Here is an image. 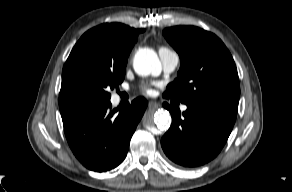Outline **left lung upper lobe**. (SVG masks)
Masks as SVG:
<instances>
[{
	"label": "left lung upper lobe",
	"mask_w": 292,
	"mask_h": 192,
	"mask_svg": "<svg viewBox=\"0 0 292 192\" xmlns=\"http://www.w3.org/2000/svg\"><path fill=\"white\" fill-rule=\"evenodd\" d=\"M163 35L178 52V78L167 86L166 98L187 106L213 105L237 110L240 86L234 60L214 34L194 26L166 28Z\"/></svg>",
	"instance_id": "5c2ea615"
}]
</instances>
